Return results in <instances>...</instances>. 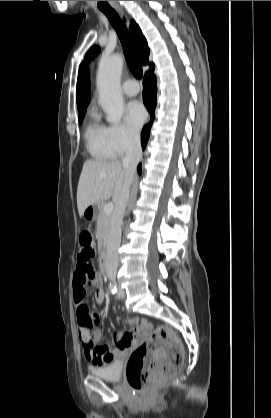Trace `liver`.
<instances>
[{
	"label": "liver",
	"mask_w": 271,
	"mask_h": 418,
	"mask_svg": "<svg viewBox=\"0 0 271 418\" xmlns=\"http://www.w3.org/2000/svg\"><path fill=\"white\" fill-rule=\"evenodd\" d=\"M126 181V168L119 161H85L77 188L79 216H83L88 206L111 197L113 202H117Z\"/></svg>",
	"instance_id": "6515ba94"
}]
</instances>
